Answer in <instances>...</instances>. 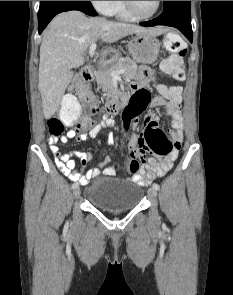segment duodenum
<instances>
[{
	"label": "duodenum",
	"mask_w": 233,
	"mask_h": 295,
	"mask_svg": "<svg viewBox=\"0 0 233 295\" xmlns=\"http://www.w3.org/2000/svg\"><path fill=\"white\" fill-rule=\"evenodd\" d=\"M81 76L84 81H92L95 76V71L91 67H86L82 71ZM129 102V95L127 94H116L114 97L109 99L106 103V112L110 114L117 113L123 106Z\"/></svg>",
	"instance_id": "obj_1"
}]
</instances>
